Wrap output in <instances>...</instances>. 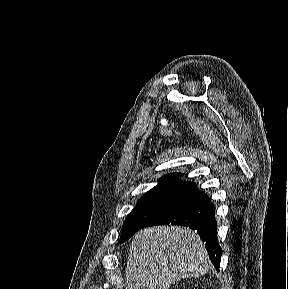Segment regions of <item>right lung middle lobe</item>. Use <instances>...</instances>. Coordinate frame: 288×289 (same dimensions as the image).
<instances>
[{"label":"right lung middle lobe","mask_w":288,"mask_h":289,"mask_svg":"<svg viewBox=\"0 0 288 289\" xmlns=\"http://www.w3.org/2000/svg\"><path fill=\"white\" fill-rule=\"evenodd\" d=\"M186 193V190L171 188H157L145 193L124 221L119 243L125 242L139 229L166 212Z\"/></svg>","instance_id":"obj_1"}]
</instances>
